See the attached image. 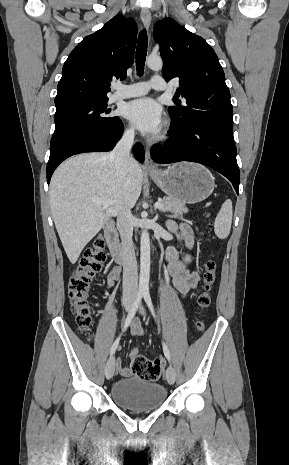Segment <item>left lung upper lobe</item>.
I'll list each match as a JSON object with an SVG mask.
<instances>
[{
    "label": "left lung upper lobe",
    "mask_w": 289,
    "mask_h": 465,
    "mask_svg": "<svg viewBox=\"0 0 289 465\" xmlns=\"http://www.w3.org/2000/svg\"><path fill=\"white\" fill-rule=\"evenodd\" d=\"M154 37L160 44L164 78H178L177 94L186 99L185 106L168 108L174 123L199 120L232 127L230 92L210 45L170 18L155 24Z\"/></svg>",
    "instance_id": "left-lung-upper-lobe-1"
}]
</instances>
